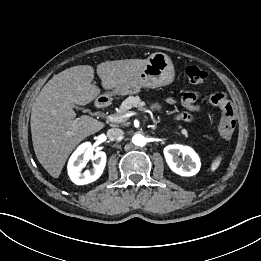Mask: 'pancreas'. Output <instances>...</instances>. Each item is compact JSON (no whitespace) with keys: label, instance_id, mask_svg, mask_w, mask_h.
I'll return each instance as SVG.
<instances>
[{"label":"pancreas","instance_id":"1","mask_svg":"<svg viewBox=\"0 0 261 261\" xmlns=\"http://www.w3.org/2000/svg\"><path fill=\"white\" fill-rule=\"evenodd\" d=\"M145 105L146 103L142 101L139 96H129L122 102L119 111L117 112L116 115L118 116L125 115L126 113L129 112V109H131L132 107H137L140 110H144ZM179 128H181V126H179ZM181 133L186 137L188 136V132L186 129H181Z\"/></svg>","mask_w":261,"mask_h":261}]
</instances>
